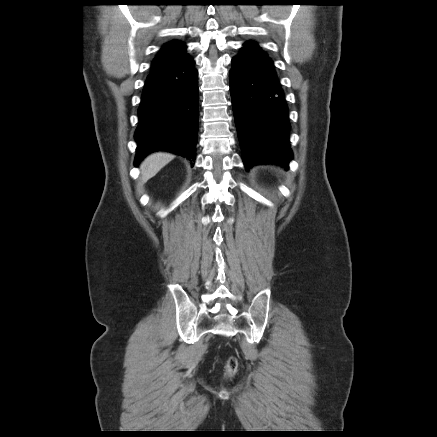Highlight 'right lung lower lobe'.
Instances as JSON below:
<instances>
[{
  "label": "right lung lower lobe",
  "mask_w": 437,
  "mask_h": 437,
  "mask_svg": "<svg viewBox=\"0 0 437 437\" xmlns=\"http://www.w3.org/2000/svg\"><path fill=\"white\" fill-rule=\"evenodd\" d=\"M189 55L154 69L144 85L138 109L134 164L165 150L195 160L199 129L198 72Z\"/></svg>",
  "instance_id": "98d812e1"
}]
</instances>
